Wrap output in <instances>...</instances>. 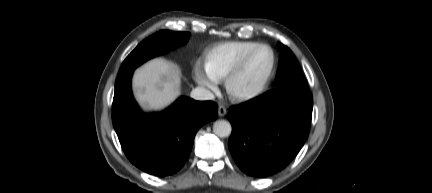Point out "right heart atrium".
<instances>
[{"label": "right heart atrium", "instance_id": "1", "mask_svg": "<svg viewBox=\"0 0 432 193\" xmlns=\"http://www.w3.org/2000/svg\"><path fill=\"white\" fill-rule=\"evenodd\" d=\"M195 79L200 85L207 88L214 89L216 87V80L200 66L195 68Z\"/></svg>", "mask_w": 432, "mask_h": 193}]
</instances>
